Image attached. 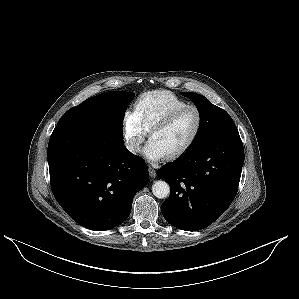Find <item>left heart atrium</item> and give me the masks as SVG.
<instances>
[{"mask_svg": "<svg viewBox=\"0 0 299 299\" xmlns=\"http://www.w3.org/2000/svg\"><path fill=\"white\" fill-rule=\"evenodd\" d=\"M144 154L152 161H157L167 156L166 152L153 139H150L146 144Z\"/></svg>", "mask_w": 299, "mask_h": 299, "instance_id": "1", "label": "left heart atrium"}]
</instances>
